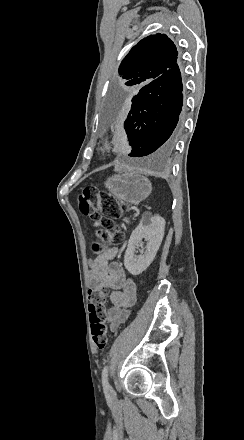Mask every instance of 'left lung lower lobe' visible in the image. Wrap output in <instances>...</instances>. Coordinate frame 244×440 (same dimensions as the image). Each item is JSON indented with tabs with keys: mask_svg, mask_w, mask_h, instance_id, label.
Masks as SVG:
<instances>
[{
	"mask_svg": "<svg viewBox=\"0 0 244 440\" xmlns=\"http://www.w3.org/2000/svg\"><path fill=\"white\" fill-rule=\"evenodd\" d=\"M182 90L176 63L157 80L116 101L115 108L127 113L124 128L133 147L129 156L167 152L175 145L182 130Z\"/></svg>",
	"mask_w": 244,
	"mask_h": 440,
	"instance_id": "left-lung-lower-lobe-1",
	"label": "left lung lower lobe"
}]
</instances>
